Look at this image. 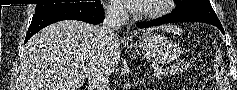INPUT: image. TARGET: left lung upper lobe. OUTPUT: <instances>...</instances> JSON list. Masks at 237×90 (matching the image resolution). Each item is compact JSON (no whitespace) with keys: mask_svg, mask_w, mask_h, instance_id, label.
<instances>
[{"mask_svg":"<svg viewBox=\"0 0 237 90\" xmlns=\"http://www.w3.org/2000/svg\"><path fill=\"white\" fill-rule=\"evenodd\" d=\"M176 13H188L196 16L219 20L208 0H175Z\"/></svg>","mask_w":237,"mask_h":90,"instance_id":"obj_1","label":"left lung upper lobe"}]
</instances>
